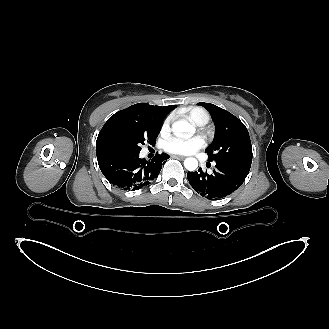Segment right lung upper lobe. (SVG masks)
<instances>
[{
  "label": "right lung upper lobe",
  "instance_id": "cb5924a9",
  "mask_svg": "<svg viewBox=\"0 0 329 329\" xmlns=\"http://www.w3.org/2000/svg\"><path fill=\"white\" fill-rule=\"evenodd\" d=\"M171 106H152L148 103H138L111 116L97 137L96 154L119 152L113 145L115 136L124 133L147 132L161 125L165 117L175 108Z\"/></svg>",
  "mask_w": 329,
  "mask_h": 329
}]
</instances>
